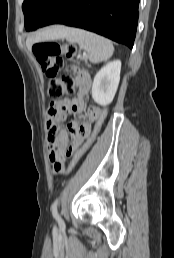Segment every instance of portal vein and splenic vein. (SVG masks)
<instances>
[{"label":"portal vein and splenic vein","mask_w":174,"mask_h":258,"mask_svg":"<svg viewBox=\"0 0 174 258\" xmlns=\"http://www.w3.org/2000/svg\"><path fill=\"white\" fill-rule=\"evenodd\" d=\"M83 57H86V53H83Z\"/></svg>","instance_id":"18ae733b"}]
</instances>
